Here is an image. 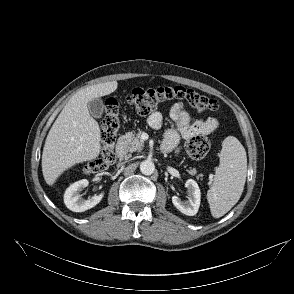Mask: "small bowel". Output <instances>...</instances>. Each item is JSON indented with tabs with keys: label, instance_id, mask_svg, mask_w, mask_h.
<instances>
[{
	"label": "small bowel",
	"instance_id": "c3829d8e",
	"mask_svg": "<svg viewBox=\"0 0 294 294\" xmlns=\"http://www.w3.org/2000/svg\"><path fill=\"white\" fill-rule=\"evenodd\" d=\"M170 117L174 122V127L168 129L164 134L162 149L170 152L176 149L179 152L178 144L180 139L188 140L198 135H207L219 127L216 118L192 121L189 113L185 110L182 103L177 102L170 108ZM163 116L160 112H154L148 118V124L153 129L161 128Z\"/></svg>",
	"mask_w": 294,
	"mask_h": 294
}]
</instances>
